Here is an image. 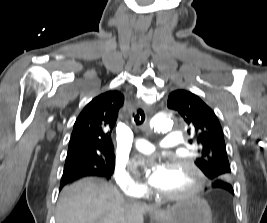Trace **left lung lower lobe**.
Masks as SVG:
<instances>
[{"label": "left lung lower lobe", "mask_w": 267, "mask_h": 223, "mask_svg": "<svg viewBox=\"0 0 267 223\" xmlns=\"http://www.w3.org/2000/svg\"><path fill=\"white\" fill-rule=\"evenodd\" d=\"M217 190V195H232L234 194L230 182H214L212 185Z\"/></svg>", "instance_id": "0a47b994"}]
</instances>
